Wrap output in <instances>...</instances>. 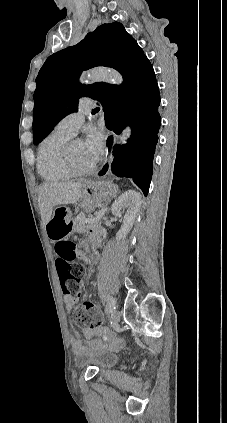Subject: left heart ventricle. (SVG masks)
I'll return each instance as SVG.
<instances>
[{
  "label": "left heart ventricle",
  "mask_w": 227,
  "mask_h": 423,
  "mask_svg": "<svg viewBox=\"0 0 227 423\" xmlns=\"http://www.w3.org/2000/svg\"><path fill=\"white\" fill-rule=\"evenodd\" d=\"M72 161L74 167L78 170H83L92 166L82 141L74 144L72 148Z\"/></svg>",
  "instance_id": "b2bd125f"
}]
</instances>
